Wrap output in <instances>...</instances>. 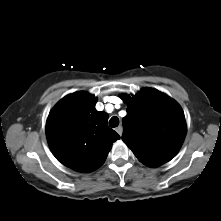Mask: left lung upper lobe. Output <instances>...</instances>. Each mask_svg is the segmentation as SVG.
Here are the masks:
<instances>
[{
  "mask_svg": "<svg viewBox=\"0 0 221 221\" xmlns=\"http://www.w3.org/2000/svg\"><path fill=\"white\" fill-rule=\"evenodd\" d=\"M120 97L128 107L122 121V140L148 167L171 160L186 136L185 116L179 104L153 88Z\"/></svg>",
  "mask_w": 221,
  "mask_h": 221,
  "instance_id": "obj_1",
  "label": "left lung upper lobe"
}]
</instances>
